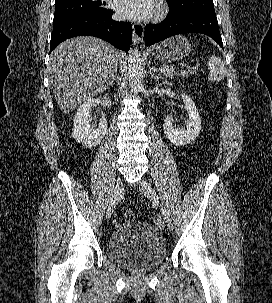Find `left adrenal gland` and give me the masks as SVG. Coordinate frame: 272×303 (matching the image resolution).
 <instances>
[{
  "mask_svg": "<svg viewBox=\"0 0 272 303\" xmlns=\"http://www.w3.org/2000/svg\"><path fill=\"white\" fill-rule=\"evenodd\" d=\"M151 77L154 78V79H157V80L163 79L162 76H157V75H155V73H154L153 71H151Z\"/></svg>",
  "mask_w": 272,
  "mask_h": 303,
  "instance_id": "left-adrenal-gland-1",
  "label": "left adrenal gland"
}]
</instances>
